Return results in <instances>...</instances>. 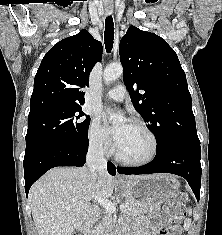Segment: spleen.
I'll return each instance as SVG.
<instances>
[{
	"label": "spleen",
	"mask_w": 222,
	"mask_h": 235,
	"mask_svg": "<svg viewBox=\"0 0 222 235\" xmlns=\"http://www.w3.org/2000/svg\"><path fill=\"white\" fill-rule=\"evenodd\" d=\"M189 214H191V211L189 210ZM190 224H191V219L187 218L185 221H184V228L185 229H188L190 227Z\"/></svg>",
	"instance_id": "3e777b00"
}]
</instances>
